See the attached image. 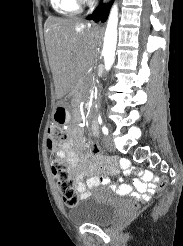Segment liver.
I'll return each mask as SVG.
<instances>
[{
  "instance_id": "obj_1",
  "label": "liver",
  "mask_w": 183,
  "mask_h": 246,
  "mask_svg": "<svg viewBox=\"0 0 183 246\" xmlns=\"http://www.w3.org/2000/svg\"><path fill=\"white\" fill-rule=\"evenodd\" d=\"M99 32L72 19L50 18L46 26V49L56 98L66 95L91 66Z\"/></svg>"
}]
</instances>
